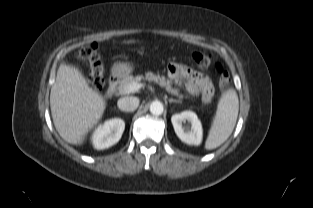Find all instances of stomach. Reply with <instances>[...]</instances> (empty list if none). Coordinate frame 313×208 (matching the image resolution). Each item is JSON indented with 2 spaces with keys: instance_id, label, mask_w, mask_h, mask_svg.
I'll use <instances>...</instances> for the list:
<instances>
[{
  "instance_id": "obj_1",
  "label": "stomach",
  "mask_w": 313,
  "mask_h": 208,
  "mask_svg": "<svg viewBox=\"0 0 313 208\" xmlns=\"http://www.w3.org/2000/svg\"><path fill=\"white\" fill-rule=\"evenodd\" d=\"M115 71L118 73V74H128L132 71V67L128 64H118L116 67H115Z\"/></svg>"
}]
</instances>
